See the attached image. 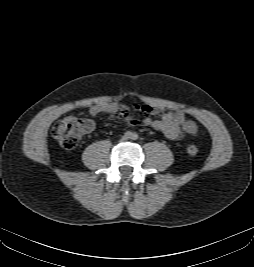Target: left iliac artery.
I'll return each mask as SVG.
<instances>
[{
	"label": "left iliac artery",
	"instance_id": "44dca946",
	"mask_svg": "<svg viewBox=\"0 0 254 267\" xmlns=\"http://www.w3.org/2000/svg\"><path fill=\"white\" fill-rule=\"evenodd\" d=\"M132 139H133V140L138 139V135H137V134H133V135H132Z\"/></svg>",
	"mask_w": 254,
	"mask_h": 267
}]
</instances>
